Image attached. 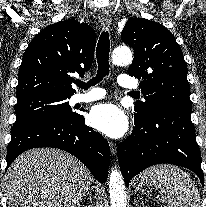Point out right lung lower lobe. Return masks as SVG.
Returning a JSON list of instances; mask_svg holds the SVG:
<instances>
[{"label": "right lung lower lobe", "mask_w": 206, "mask_h": 207, "mask_svg": "<svg viewBox=\"0 0 206 207\" xmlns=\"http://www.w3.org/2000/svg\"><path fill=\"white\" fill-rule=\"evenodd\" d=\"M38 147L67 151L82 161L101 183L107 179L110 164L108 142L85 125L84 116L41 118L13 126L6 156L7 167L22 152Z\"/></svg>", "instance_id": "obj_1"}]
</instances>
